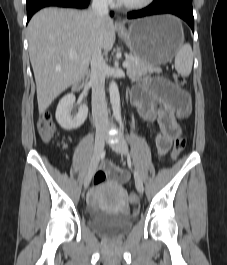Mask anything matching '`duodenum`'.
<instances>
[{"mask_svg":"<svg viewBox=\"0 0 227 265\" xmlns=\"http://www.w3.org/2000/svg\"><path fill=\"white\" fill-rule=\"evenodd\" d=\"M83 86H84V80L83 79H78L73 84V91L80 92L82 90Z\"/></svg>","mask_w":227,"mask_h":265,"instance_id":"obj_1","label":"duodenum"}]
</instances>
